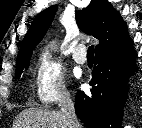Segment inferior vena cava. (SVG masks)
I'll list each match as a JSON object with an SVG mask.
<instances>
[{"instance_id":"602c4592","label":"inferior vena cava","mask_w":142,"mask_h":128,"mask_svg":"<svg viewBox=\"0 0 142 128\" xmlns=\"http://www.w3.org/2000/svg\"><path fill=\"white\" fill-rule=\"evenodd\" d=\"M59 105L61 112L67 121L68 128H81L75 114L74 104L69 94L66 93L62 95Z\"/></svg>"}]
</instances>
